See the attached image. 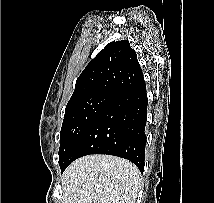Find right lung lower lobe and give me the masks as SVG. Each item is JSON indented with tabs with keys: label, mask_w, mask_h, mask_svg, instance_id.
<instances>
[{
	"label": "right lung lower lobe",
	"mask_w": 214,
	"mask_h": 203,
	"mask_svg": "<svg viewBox=\"0 0 214 203\" xmlns=\"http://www.w3.org/2000/svg\"><path fill=\"white\" fill-rule=\"evenodd\" d=\"M147 106L145 82L112 97L72 148L61 173L77 158L90 154L128 159L143 173Z\"/></svg>",
	"instance_id": "right-lung-lower-lobe-1"
}]
</instances>
